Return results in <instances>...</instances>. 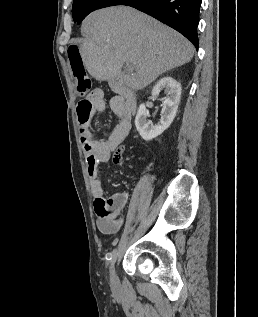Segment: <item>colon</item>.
I'll return each mask as SVG.
<instances>
[{"label":"colon","mask_w":258,"mask_h":317,"mask_svg":"<svg viewBox=\"0 0 258 317\" xmlns=\"http://www.w3.org/2000/svg\"><path fill=\"white\" fill-rule=\"evenodd\" d=\"M67 54L69 64L71 66L75 78L76 90L78 94L84 98L90 92L92 82L84 65L83 58L78 45L71 44L68 47ZM123 151L124 149L121 147L116 150L114 157L117 161H123Z\"/></svg>","instance_id":"5ec220e1"}]
</instances>
